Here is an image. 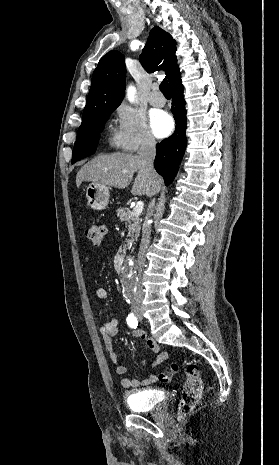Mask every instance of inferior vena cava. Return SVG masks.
I'll use <instances>...</instances> for the list:
<instances>
[{
  "label": "inferior vena cava",
  "mask_w": 279,
  "mask_h": 465,
  "mask_svg": "<svg viewBox=\"0 0 279 465\" xmlns=\"http://www.w3.org/2000/svg\"><path fill=\"white\" fill-rule=\"evenodd\" d=\"M155 140L151 136H146L143 141L141 142V146L138 151L139 158L143 161L144 166L146 169L153 175L155 173L154 170V159H155ZM155 192L150 191L148 193V197L152 198ZM155 206V199H151L148 210H147V217L145 219L143 230H142V239L138 254V276L141 278L142 269L145 263V253L148 248L150 242V234H151V226L147 222L148 217H150L153 213ZM143 300V289L141 286V281H138L136 284V290L134 292V301L139 303Z\"/></svg>",
  "instance_id": "602c4592"
}]
</instances>
